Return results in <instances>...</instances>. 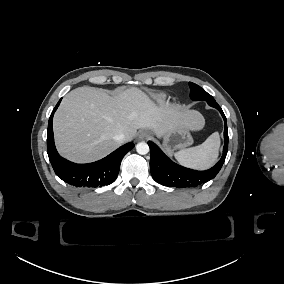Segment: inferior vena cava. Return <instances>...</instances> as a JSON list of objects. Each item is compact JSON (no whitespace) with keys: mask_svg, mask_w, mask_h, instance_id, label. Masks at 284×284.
<instances>
[{"mask_svg":"<svg viewBox=\"0 0 284 284\" xmlns=\"http://www.w3.org/2000/svg\"><path fill=\"white\" fill-rule=\"evenodd\" d=\"M114 140L117 141L118 143H123L124 142V134L122 132L117 133L114 135Z\"/></svg>","mask_w":284,"mask_h":284,"instance_id":"obj_1","label":"inferior vena cava"}]
</instances>
